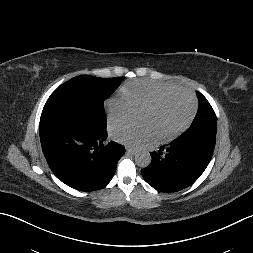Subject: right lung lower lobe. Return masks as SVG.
Instances as JSON below:
<instances>
[{"mask_svg":"<svg viewBox=\"0 0 253 253\" xmlns=\"http://www.w3.org/2000/svg\"><path fill=\"white\" fill-rule=\"evenodd\" d=\"M40 141L49 167L66 185L80 191H95L112 179L124 146L104 145L105 130L67 119L40 121Z\"/></svg>","mask_w":253,"mask_h":253,"instance_id":"obj_1","label":"right lung lower lobe"}]
</instances>
